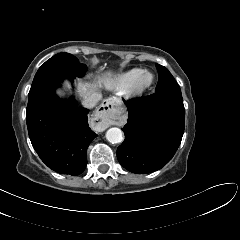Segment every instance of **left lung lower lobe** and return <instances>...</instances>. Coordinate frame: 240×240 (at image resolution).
Returning a JSON list of instances; mask_svg holds the SVG:
<instances>
[{"label":"left lung lower lobe","instance_id":"1","mask_svg":"<svg viewBox=\"0 0 240 240\" xmlns=\"http://www.w3.org/2000/svg\"><path fill=\"white\" fill-rule=\"evenodd\" d=\"M128 122L124 142L117 148L120 164L133 173L162 168L174 156L184 133L185 109L181 91H160L124 101Z\"/></svg>","mask_w":240,"mask_h":240}]
</instances>
